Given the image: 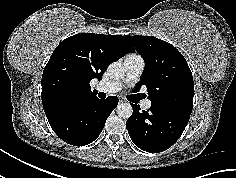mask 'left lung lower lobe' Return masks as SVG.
<instances>
[{"label":"left lung lower lobe","mask_w":236,"mask_h":178,"mask_svg":"<svg viewBox=\"0 0 236 178\" xmlns=\"http://www.w3.org/2000/svg\"><path fill=\"white\" fill-rule=\"evenodd\" d=\"M133 114L126 128L133 143L140 149L159 153L171 147L183 133L190 115L152 105L148 111H140L131 104Z\"/></svg>","instance_id":"obj_1"}]
</instances>
